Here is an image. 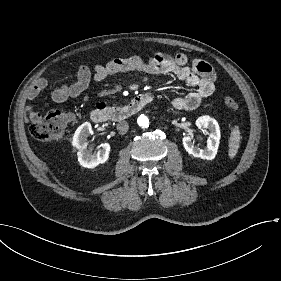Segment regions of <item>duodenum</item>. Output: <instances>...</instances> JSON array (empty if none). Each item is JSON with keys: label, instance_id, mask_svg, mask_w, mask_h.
<instances>
[{"label": "duodenum", "instance_id": "duodenum-1", "mask_svg": "<svg viewBox=\"0 0 281 281\" xmlns=\"http://www.w3.org/2000/svg\"><path fill=\"white\" fill-rule=\"evenodd\" d=\"M150 101V95L140 94L125 107H109L106 105H98L92 110L90 118L95 123H102L106 121L121 122L128 119Z\"/></svg>", "mask_w": 281, "mask_h": 281}]
</instances>
